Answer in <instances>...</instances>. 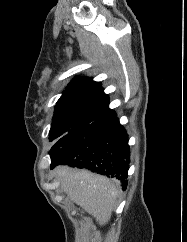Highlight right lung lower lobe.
I'll return each instance as SVG.
<instances>
[{
    "instance_id": "right-lung-lower-lobe-1",
    "label": "right lung lower lobe",
    "mask_w": 187,
    "mask_h": 242,
    "mask_svg": "<svg viewBox=\"0 0 187 242\" xmlns=\"http://www.w3.org/2000/svg\"><path fill=\"white\" fill-rule=\"evenodd\" d=\"M126 130L106 108L93 122L61 137L51 148V168L58 164L86 168L122 181L127 187L130 151Z\"/></svg>"
}]
</instances>
